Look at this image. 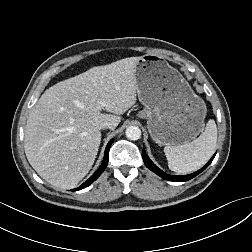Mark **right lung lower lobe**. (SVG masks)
Wrapping results in <instances>:
<instances>
[{"instance_id":"98d812e1","label":"right lung lower lobe","mask_w":252,"mask_h":252,"mask_svg":"<svg viewBox=\"0 0 252 252\" xmlns=\"http://www.w3.org/2000/svg\"><path fill=\"white\" fill-rule=\"evenodd\" d=\"M112 143H113V139L110 140L109 143L107 144L103 162H102L101 166L98 168V170L86 182H84L80 187L74 189V191L81 190V189L89 186L92 182H94L103 173V171L105 170V168L108 164L109 149H110V146Z\"/></svg>"}]
</instances>
